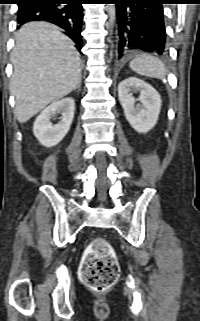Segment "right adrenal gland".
Here are the masks:
<instances>
[{"label": "right adrenal gland", "mask_w": 200, "mask_h": 321, "mask_svg": "<svg viewBox=\"0 0 200 321\" xmlns=\"http://www.w3.org/2000/svg\"><path fill=\"white\" fill-rule=\"evenodd\" d=\"M78 91V92H80L81 91V81H80V83L77 85V87L74 89V91Z\"/></svg>", "instance_id": "obj_1"}]
</instances>
